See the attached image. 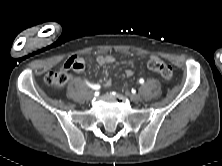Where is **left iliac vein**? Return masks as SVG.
<instances>
[{"label": "left iliac vein", "mask_w": 222, "mask_h": 166, "mask_svg": "<svg viewBox=\"0 0 222 166\" xmlns=\"http://www.w3.org/2000/svg\"><path fill=\"white\" fill-rule=\"evenodd\" d=\"M126 95L130 98L131 101L133 102H139L140 101V96L137 95V94H131V93H128L126 92Z\"/></svg>", "instance_id": "left-iliac-vein-1"}]
</instances>
